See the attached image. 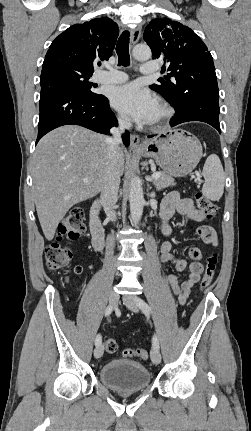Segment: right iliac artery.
<instances>
[{
    "label": "right iliac artery",
    "mask_w": 251,
    "mask_h": 431,
    "mask_svg": "<svg viewBox=\"0 0 251 431\" xmlns=\"http://www.w3.org/2000/svg\"><path fill=\"white\" fill-rule=\"evenodd\" d=\"M113 311V307L111 305H109L106 310H105V316H109ZM102 338L101 335L98 334L95 338V345L98 346L99 344H101Z\"/></svg>",
    "instance_id": "right-iliac-artery-1"
}]
</instances>
